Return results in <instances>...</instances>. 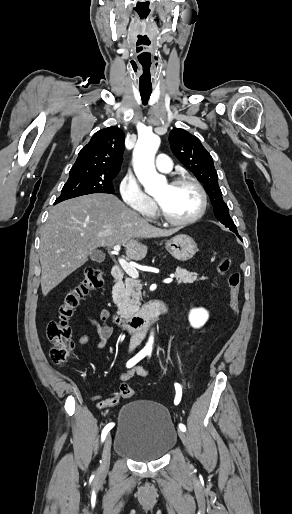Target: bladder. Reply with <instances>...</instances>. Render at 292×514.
I'll return each instance as SVG.
<instances>
[{
  "instance_id": "bladder-1",
  "label": "bladder",
  "mask_w": 292,
  "mask_h": 514,
  "mask_svg": "<svg viewBox=\"0 0 292 514\" xmlns=\"http://www.w3.org/2000/svg\"><path fill=\"white\" fill-rule=\"evenodd\" d=\"M177 433L168 410L148 400L122 406L114 441L118 457L148 463L162 459L176 445Z\"/></svg>"
}]
</instances>
